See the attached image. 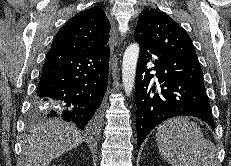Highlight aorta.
<instances>
[{
	"instance_id": "aorta-1",
	"label": "aorta",
	"mask_w": 231,
	"mask_h": 166,
	"mask_svg": "<svg viewBox=\"0 0 231 166\" xmlns=\"http://www.w3.org/2000/svg\"><path fill=\"white\" fill-rule=\"evenodd\" d=\"M140 53V47L137 43H133L127 47L123 56L122 63V82L125 93L127 96H130L136 76V66Z\"/></svg>"
}]
</instances>
